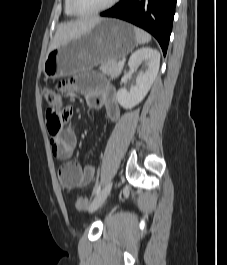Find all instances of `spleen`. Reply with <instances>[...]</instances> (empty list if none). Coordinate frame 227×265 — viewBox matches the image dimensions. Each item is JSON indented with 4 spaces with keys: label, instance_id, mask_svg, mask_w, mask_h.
Listing matches in <instances>:
<instances>
[{
    "label": "spleen",
    "instance_id": "1",
    "mask_svg": "<svg viewBox=\"0 0 227 265\" xmlns=\"http://www.w3.org/2000/svg\"><path fill=\"white\" fill-rule=\"evenodd\" d=\"M134 32H135L136 40L139 44H145L151 40V36L146 31L138 27H134Z\"/></svg>",
    "mask_w": 227,
    "mask_h": 265
}]
</instances>
